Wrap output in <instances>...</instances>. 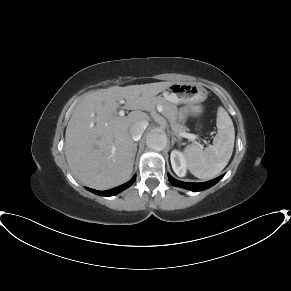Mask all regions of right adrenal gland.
I'll return each instance as SVG.
<instances>
[{
	"instance_id": "right-adrenal-gland-1",
	"label": "right adrenal gland",
	"mask_w": 291,
	"mask_h": 291,
	"mask_svg": "<svg viewBox=\"0 0 291 291\" xmlns=\"http://www.w3.org/2000/svg\"><path fill=\"white\" fill-rule=\"evenodd\" d=\"M137 146H138V143H135V154L137 152ZM134 158H135V156H134Z\"/></svg>"
}]
</instances>
